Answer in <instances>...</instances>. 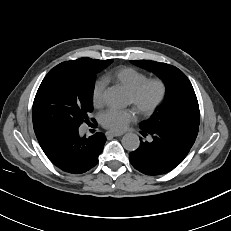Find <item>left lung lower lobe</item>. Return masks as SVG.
<instances>
[{"label":"left lung lower lobe","mask_w":231,"mask_h":231,"mask_svg":"<svg viewBox=\"0 0 231 231\" xmlns=\"http://www.w3.org/2000/svg\"><path fill=\"white\" fill-rule=\"evenodd\" d=\"M141 130L144 137L152 139L149 142L140 140L139 148L129 154V159L135 169L151 176L173 170L189 153L196 139V136L163 130Z\"/></svg>","instance_id":"0a47b994"}]
</instances>
